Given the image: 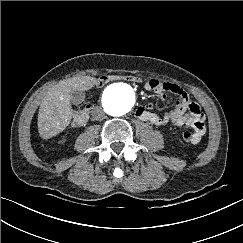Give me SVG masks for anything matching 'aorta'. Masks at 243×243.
Returning a JSON list of instances; mask_svg holds the SVG:
<instances>
[{"label": "aorta", "instance_id": "aorta-1", "mask_svg": "<svg viewBox=\"0 0 243 243\" xmlns=\"http://www.w3.org/2000/svg\"><path fill=\"white\" fill-rule=\"evenodd\" d=\"M131 88L124 84H112L103 94V104L117 116L126 114L132 108Z\"/></svg>", "mask_w": 243, "mask_h": 243}]
</instances>
